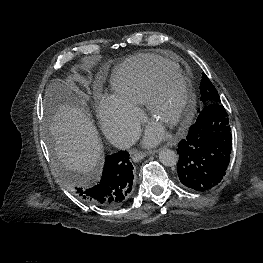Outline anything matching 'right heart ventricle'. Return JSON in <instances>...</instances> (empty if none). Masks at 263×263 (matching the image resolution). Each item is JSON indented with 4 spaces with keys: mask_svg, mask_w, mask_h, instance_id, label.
Instances as JSON below:
<instances>
[{
    "mask_svg": "<svg viewBox=\"0 0 263 263\" xmlns=\"http://www.w3.org/2000/svg\"><path fill=\"white\" fill-rule=\"evenodd\" d=\"M178 67L165 59L151 54H137L121 62L111 75L114 97L138 107L145 101L152 77L161 70Z\"/></svg>",
    "mask_w": 263,
    "mask_h": 263,
    "instance_id": "right-heart-ventricle-1",
    "label": "right heart ventricle"
}]
</instances>
